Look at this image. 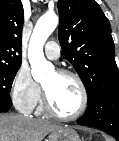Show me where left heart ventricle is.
I'll list each match as a JSON object with an SVG mask.
<instances>
[{
    "label": "left heart ventricle",
    "instance_id": "obj_1",
    "mask_svg": "<svg viewBox=\"0 0 119 141\" xmlns=\"http://www.w3.org/2000/svg\"><path fill=\"white\" fill-rule=\"evenodd\" d=\"M53 108L62 114L75 113L81 104L77 82L69 76L52 72L42 83Z\"/></svg>",
    "mask_w": 119,
    "mask_h": 141
}]
</instances>
